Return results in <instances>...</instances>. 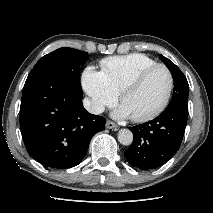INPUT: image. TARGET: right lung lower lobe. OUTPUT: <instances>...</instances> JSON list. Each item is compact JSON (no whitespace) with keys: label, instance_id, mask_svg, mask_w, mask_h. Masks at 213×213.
<instances>
[{"label":"right lung lower lobe","instance_id":"obj_1","mask_svg":"<svg viewBox=\"0 0 213 213\" xmlns=\"http://www.w3.org/2000/svg\"><path fill=\"white\" fill-rule=\"evenodd\" d=\"M82 90L55 74L28 77L20 106V129L29 155L46 167L78 165L94 134L105 129L102 116L82 106Z\"/></svg>","mask_w":213,"mask_h":213}]
</instances>
